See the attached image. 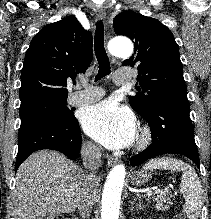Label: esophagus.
I'll return each mask as SVG.
<instances>
[{
  "mask_svg": "<svg viewBox=\"0 0 211 219\" xmlns=\"http://www.w3.org/2000/svg\"><path fill=\"white\" fill-rule=\"evenodd\" d=\"M96 13H97V16L100 17V18H105L106 17V10L104 7H98L96 8ZM118 162V158H113V157H110L108 160H107V165L108 166H112L114 164H116Z\"/></svg>",
  "mask_w": 211,
  "mask_h": 219,
  "instance_id": "1",
  "label": "esophagus"
}]
</instances>
